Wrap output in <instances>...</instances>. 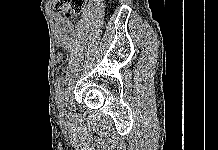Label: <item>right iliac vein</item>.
Returning <instances> with one entry per match:
<instances>
[{"instance_id": "right-iliac-vein-1", "label": "right iliac vein", "mask_w": 218, "mask_h": 150, "mask_svg": "<svg viewBox=\"0 0 218 150\" xmlns=\"http://www.w3.org/2000/svg\"><path fill=\"white\" fill-rule=\"evenodd\" d=\"M58 109H59L60 116H64L65 112H64L63 106L58 107Z\"/></svg>"}]
</instances>
